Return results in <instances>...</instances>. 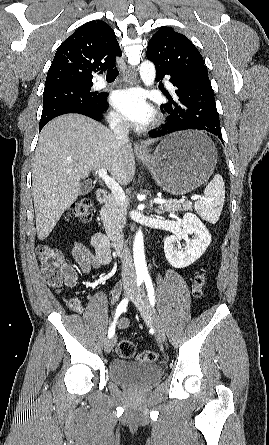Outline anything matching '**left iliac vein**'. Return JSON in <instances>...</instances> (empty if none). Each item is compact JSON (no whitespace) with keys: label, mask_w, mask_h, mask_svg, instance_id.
Segmentation results:
<instances>
[{"label":"left iliac vein","mask_w":269,"mask_h":445,"mask_svg":"<svg viewBox=\"0 0 269 445\" xmlns=\"http://www.w3.org/2000/svg\"><path fill=\"white\" fill-rule=\"evenodd\" d=\"M131 300L140 311L143 320L154 328L157 340L160 342H164L166 340V334L163 323L157 315L156 311L150 305L144 289L140 288L133 295Z\"/></svg>","instance_id":"4c4485c4"}]
</instances>
